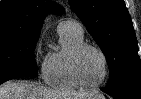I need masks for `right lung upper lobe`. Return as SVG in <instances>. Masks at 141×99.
I'll return each instance as SVG.
<instances>
[{
	"instance_id": "right-lung-upper-lobe-1",
	"label": "right lung upper lobe",
	"mask_w": 141,
	"mask_h": 99,
	"mask_svg": "<svg viewBox=\"0 0 141 99\" xmlns=\"http://www.w3.org/2000/svg\"><path fill=\"white\" fill-rule=\"evenodd\" d=\"M53 7L50 0H1L0 32L20 31L40 34L47 12ZM56 13L62 14L58 6Z\"/></svg>"
}]
</instances>
